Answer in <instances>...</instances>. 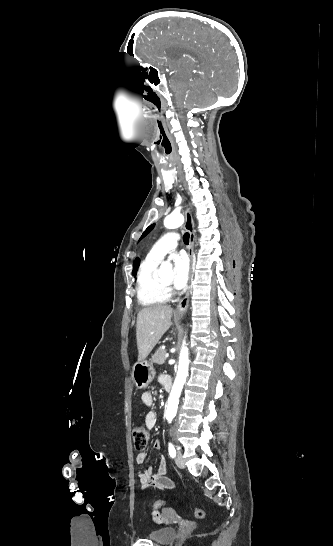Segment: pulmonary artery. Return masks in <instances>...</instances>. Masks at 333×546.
Listing matches in <instances>:
<instances>
[{"label": "pulmonary artery", "instance_id": "1", "mask_svg": "<svg viewBox=\"0 0 333 546\" xmlns=\"http://www.w3.org/2000/svg\"><path fill=\"white\" fill-rule=\"evenodd\" d=\"M178 241V234L175 232L166 233L151 248L147 257L153 260L161 261L168 252L177 247Z\"/></svg>", "mask_w": 333, "mask_h": 546}]
</instances>
